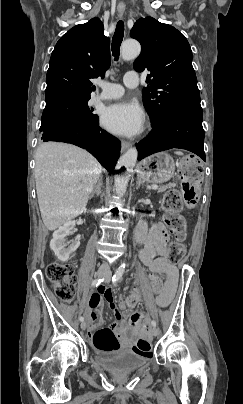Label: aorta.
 Wrapping results in <instances>:
<instances>
[{
	"mask_svg": "<svg viewBox=\"0 0 243 404\" xmlns=\"http://www.w3.org/2000/svg\"><path fill=\"white\" fill-rule=\"evenodd\" d=\"M141 52V46L137 40H126L121 44V56L122 60H134L137 58ZM138 152L136 148H130L127 150L124 156H121L120 160L117 161L116 168H115V192L119 198H123L126 190L127 184L130 181V170L134 168L137 162ZM123 270V266L119 268V272Z\"/></svg>",
	"mask_w": 243,
	"mask_h": 404,
	"instance_id": "762f6f07",
	"label": "aorta"
}]
</instances>
